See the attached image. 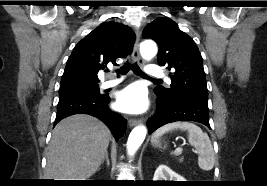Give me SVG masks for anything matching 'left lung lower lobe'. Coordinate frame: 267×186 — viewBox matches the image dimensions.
<instances>
[{"instance_id":"1","label":"left lung lower lobe","mask_w":267,"mask_h":186,"mask_svg":"<svg viewBox=\"0 0 267 186\" xmlns=\"http://www.w3.org/2000/svg\"><path fill=\"white\" fill-rule=\"evenodd\" d=\"M158 111L147 121L149 134L165 124L176 121H194L210 128L207 101L185 98H159Z\"/></svg>"}]
</instances>
